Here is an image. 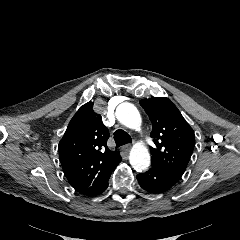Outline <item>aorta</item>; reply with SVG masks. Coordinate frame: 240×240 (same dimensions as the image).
<instances>
[{"instance_id":"762f6f07","label":"aorta","mask_w":240,"mask_h":240,"mask_svg":"<svg viewBox=\"0 0 240 240\" xmlns=\"http://www.w3.org/2000/svg\"><path fill=\"white\" fill-rule=\"evenodd\" d=\"M117 119L126 127L136 129L140 127L142 119L138 109L131 103H122L116 109ZM130 164L136 171L146 170L150 166L148 149L136 144L130 151Z\"/></svg>"}]
</instances>
